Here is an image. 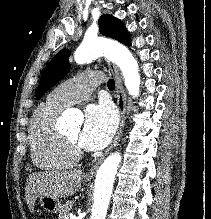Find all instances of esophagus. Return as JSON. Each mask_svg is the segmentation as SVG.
Masks as SVG:
<instances>
[{
    "instance_id": "obj_1",
    "label": "esophagus",
    "mask_w": 211,
    "mask_h": 219,
    "mask_svg": "<svg viewBox=\"0 0 211 219\" xmlns=\"http://www.w3.org/2000/svg\"><path fill=\"white\" fill-rule=\"evenodd\" d=\"M107 66L109 68V71L112 73L114 79H115V90H116V98H117V106L120 112V125L118 128V132L116 134V137L114 139V141L112 142L111 146L105 151V153L103 154V156L96 162V164L87 172V177H92L99 165L101 164V162L103 161V159L115 148V146L118 144V142L120 141V138L122 136L123 133V129L125 126V120H126V94L124 91V87H123V83H122V79L119 75L118 69L117 67L111 63V62H107Z\"/></svg>"
}]
</instances>
